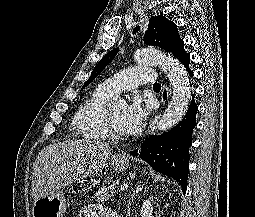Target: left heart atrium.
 I'll use <instances>...</instances> for the list:
<instances>
[{"label": "left heart atrium", "instance_id": "1", "mask_svg": "<svg viewBox=\"0 0 255 217\" xmlns=\"http://www.w3.org/2000/svg\"><path fill=\"white\" fill-rule=\"evenodd\" d=\"M148 117V108L139 99H134L125 109L122 118L124 134L133 135L138 133L144 126Z\"/></svg>", "mask_w": 255, "mask_h": 217}]
</instances>
